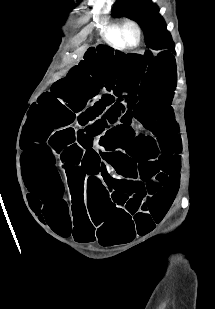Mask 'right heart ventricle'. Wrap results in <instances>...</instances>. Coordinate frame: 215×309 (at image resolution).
<instances>
[{"label": "right heart ventricle", "mask_w": 215, "mask_h": 309, "mask_svg": "<svg viewBox=\"0 0 215 309\" xmlns=\"http://www.w3.org/2000/svg\"><path fill=\"white\" fill-rule=\"evenodd\" d=\"M118 25V22L104 23V30L101 33L103 40L113 48H123L117 29Z\"/></svg>", "instance_id": "e07e8e85"}]
</instances>
